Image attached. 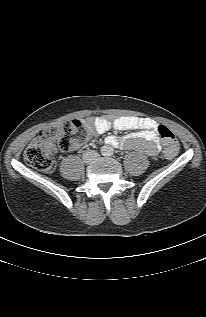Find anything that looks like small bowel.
<instances>
[{"instance_id":"small-bowel-1","label":"small bowel","mask_w":206,"mask_h":317,"mask_svg":"<svg viewBox=\"0 0 206 317\" xmlns=\"http://www.w3.org/2000/svg\"><path fill=\"white\" fill-rule=\"evenodd\" d=\"M84 125L91 128L95 133L101 134L110 129L121 131H133L126 136L110 135L106 138V143L124 149H134L143 151L149 155H156L160 151L159 146V123L151 118H141L135 116H124L117 118L96 117L88 118ZM76 145L73 150L78 149Z\"/></svg>"}]
</instances>
